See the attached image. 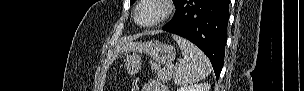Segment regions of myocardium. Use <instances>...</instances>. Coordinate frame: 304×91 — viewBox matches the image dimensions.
<instances>
[{
  "label": "myocardium",
  "instance_id": "1",
  "mask_svg": "<svg viewBox=\"0 0 304 91\" xmlns=\"http://www.w3.org/2000/svg\"><path fill=\"white\" fill-rule=\"evenodd\" d=\"M156 2L159 5H161L162 7V13L160 14V16L155 19L152 22L149 23H140L138 20V11L140 9V7L146 3V2ZM174 12V1L172 0H140L138 1L135 10H134V21L135 23L140 26V27H144V28H150V27H155L160 25L161 23H163L164 21H166Z\"/></svg>",
  "mask_w": 304,
  "mask_h": 91
}]
</instances>
